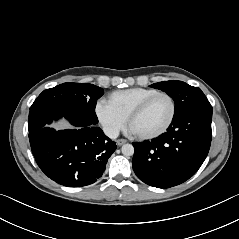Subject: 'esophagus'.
<instances>
[{
  "mask_svg": "<svg viewBox=\"0 0 239 239\" xmlns=\"http://www.w3.org/2000/svg\"><path fill=\"white\" fill-rule=\"evenodd\" d=\"M126 142H127V140H125V139H118L117 140V145L121 146V145L125 144Z\"/></svg>",
  "mask_w": 239,
  "mask_h": 239,
  "instance_id": "34e87169",
  "label": "esophagus"
}]
</instances>
